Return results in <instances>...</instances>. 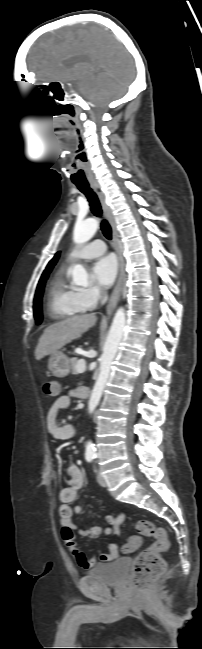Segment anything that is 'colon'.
Returning <instances> with one entry per match:
<instances>
[{"label":"colon","mask_w":202,"mask_h":649,"mask_svg":"<svg viewBox=\"0 0 202 649\" xmlns=\"http://www.w3.org/2000/svg\"><path fill=\"white\" fill-rule=\"evenodd\" d=\"M42 389L48 397H57L61 391L60 384L56 380L44 381ZM135 531L136 537L129 542L127 549L134 548L139 537L154 538L152 545L136 556L132 566V583L138 591H144L164 571L161 553L168 549L169 540L166 530L149 520L138 521Z\"/></svg>","instance_id":"obj_1"}]
</instances>
